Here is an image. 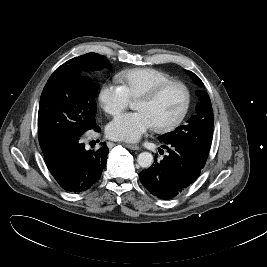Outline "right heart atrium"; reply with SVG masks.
I'll list each match as a JSON object with an SVG mask.
<instances>
[{"mask_svg": "<svg viewBox=\"0 0 267 267\" xmlns=\"http://www.w3.org/2000/svg\"><path fill=\"white\" fill-rule=\"evenodd\" d=\"M98 100L105 113L115 116L130 104L125 89L122 85L106 83L101 86Z\"/></svg>", "mask_w": 267, "mask_h": 267, "instance_id": "1", "label": "right heart atrium"}]
</instances>
